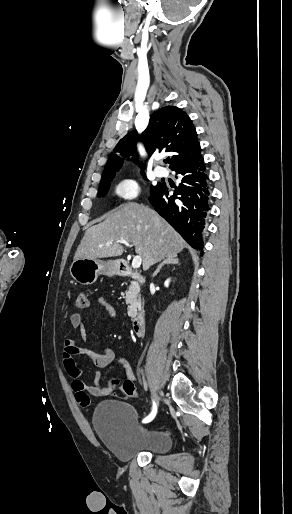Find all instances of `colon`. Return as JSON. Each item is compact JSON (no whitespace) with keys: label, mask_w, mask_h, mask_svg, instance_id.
Masks as SVG:
<instances>
[{"label":"colon","mask_w":292,"mask_h":514,"mask_svg":"<svg viewBox=\"0 0 292 514\" xmlns=\"http://www.w3.org/2000/svg\"><path fill=\"white\" fill-rule=\"evenodd\" d=\"M88 306V294L86 292H79L75 299L74 307L76 310H83ZM108 386L113 389L120 390L122 395L133 396L135 387L133 384H123L116 380H110Z\"/></svg>","instance_id":"5ec220e1"}]
</instances>
